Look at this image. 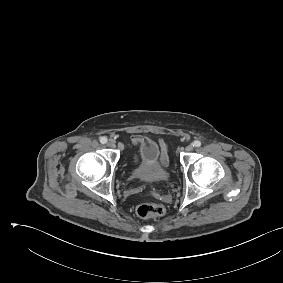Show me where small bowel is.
<instances>
[{"label":"small bowel","instance_id":"1","mask_svg":"<svg viewBox=\"0 0 283 283\" xmlns=\"http://www.w3.org/2000/svg\"><path fill=\"white\" fill-rule=\"evenodd\" d=\"M145 140H147V139L144 138V137H136L135 143L138 144V143L143 142ZM159 148H160L159 164L163 168L168 163V149H167L166 143L163 140L159 141Z\"/></svg>","mask_w":283,"mask_h":283}]
</instances>
